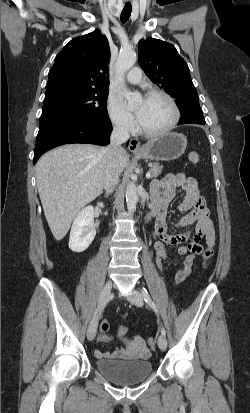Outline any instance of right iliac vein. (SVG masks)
I'll return each instance as SVG.
<instances>
[{"label": "right iliac vein", "mask_w": 250, "mask_h": 413, "mask_svg": "<svg viewBox=\"0 0 250 413\" xmlns=\"http://www.w3.org/2000/svg\"><path fill=\"white\" fill-rule=\"evenodd\" d=\"M111 290H112V283L110 281H108L101 294H100V298H99V304H98V311L101 312V310L104 308V306L107 304V302L109 301V298L111 296ZM97 324H98V316H95L89 327L87 330V338L92 341L94 340L95 336H96V331H97Z\"/></svg>", "instance_id": "63e3f726"}]
</instances>
